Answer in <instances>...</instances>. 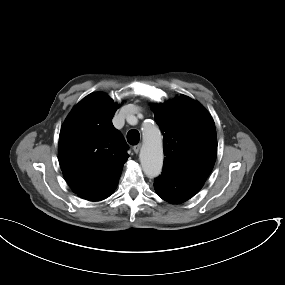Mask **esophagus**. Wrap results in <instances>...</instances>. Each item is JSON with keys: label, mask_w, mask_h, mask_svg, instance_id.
Returning a JSON list of instances; mask_svg holds the SVG:
<instances>
[{"label": "esophagus", "mask_w": 285, "mask_h": 285, "mask_svg": "<svg viewBox=\"0 0 285 285\" xmlns=\"http://www.w3.org/2000/svg\"><path fill=\"white\" fill-rule=\"evenodd\" d=\"M140 149H141V144H137V145L133 146V151H134L136 154L139 153Z\"/></svg>", "instance_id": "esophagus-1"}]
</instances>
